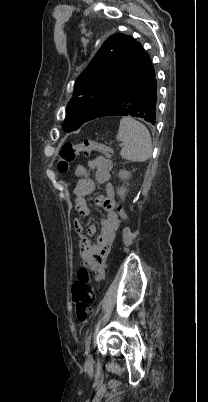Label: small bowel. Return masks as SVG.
<instances>
[{
    "instance_id": "1",
    "label": "small bowel",
    "mask_w": 208,
    "mask_h": 402,
    "mask_svg": "<svg viewBox=\"0 0 208 402\" xmlns=\"http://www.w3.org/2000/svg\"><path fill=\"white\" fill-rule=\"evenodd\" d=\"M112 168L113 162L110 159L97 156L78 164L75 169V175L79 179L75 188V207L80 215L88 216L90 214L85 197L95 190V182L106 185V196L98 198V203L103 208L105 215L101 219V229L96 240L87 239L81 222L78 219L73 221L79 255L95 272V278L98 281L104 278L105 259L120 226L118 216L114 211L113 187L110 183ZM91 170L96 171L95 181L90 177ZM96 231V226L91 224L88 232L93 235Z\"/></svg>"
}]
</instances>
